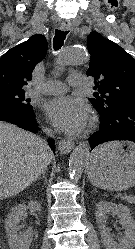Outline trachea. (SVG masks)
<instances>
[{
    "instance_id": "1",
    "label": "trachea",
    "mask_w": 135,
    "mask_h": 249,
    "mask_svg": "<svg viewBox=\"0 0 135 249\" xmlns=\"http://www.w3.org/2000/svg\"><path fill=\"white\" fill-rule=\"evenodd\" d=\"M68 33L69 31H61V30L55 31V36L53 39V47L55 50H59L63 46L64 40Z\"/></svg>"
}]
</instances>
